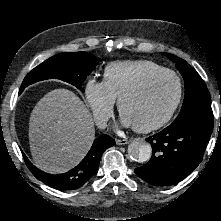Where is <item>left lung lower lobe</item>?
I'll use <instances>...</instances> for the list:
<instances>
[{"label": "left lung lower lobe", "instance_id": "left-lung-lower-lobe-1", "mask_svg": "<svg viewBox=\"0 0 221 221\" xmlns=\"http://www.w3.org/2000/svg\"><path fill=\"white\" fill-rule=\"evenodd\" d=\"M213 122V113L193 112L147 138L153 155L147 164L136 168L135 173L156 186L181 181L202 161Z\"/></svg>", "mask_w": 221, "mask_h": 221}]
</instances>
